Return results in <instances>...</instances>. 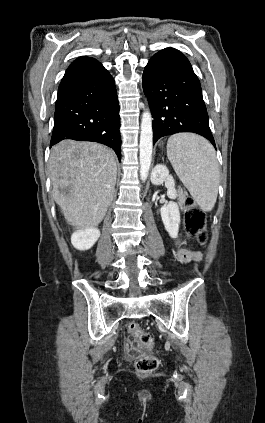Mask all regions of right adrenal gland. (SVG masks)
I'll return each instance as SVG.
<instances>
[{
	"label": "right adrenal gland",
	"mask_w": 265,
	"mask_h": 423,
	"mask_svg": "<svg viewBox=\"0 0 265 423\" xmlns=\"http://www.w3.org/2000/svg\"><path fill=\"white\" fill-rule=\"evenodd\" d=\"M113 196L115 197V189H114V195Z\"/></svg>",
	"instance_id": "obj_1"
}]
</instances>
